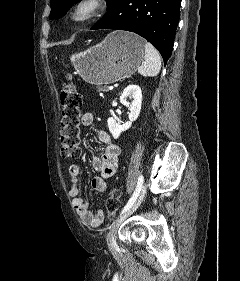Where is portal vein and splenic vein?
<instances>
[{
	"label": "portal vein and splenic vein",
	"mask_w": 240,
	"mask_h": 281,
	"mask_svg": "<svg viewBox=\"0 0 240 281\" xmlns=\"http://www.w3.org/2000/svg\"><path fill=\"white\" fill-rule=\"evenodd\" d=\"M113 89H114L113 86H109V87H108V90H113Z\"/></svg>",
	"instance_id": "obj_1"
}]
</instances>
